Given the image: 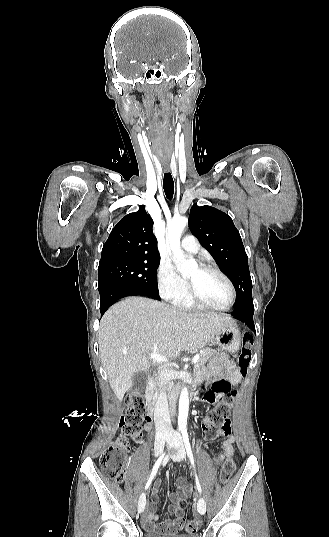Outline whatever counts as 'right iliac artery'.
Segmentation results:
<instances>
[{"instance_id":"82829eb1","label":"right iliac artery","mask_w":329,"mask_h":537,"mask_svg":"<svg viewBox=\"0 0 329 537\" xmlns=\"http://www.w3.org/2000/svg\"><path fill=\"white\" fill-rule=\"evenodd\" d=\"M164 453L158 458V460L156 461V463L154 464L153 466V469H152V472H151V475H150V478L148 479L147 483H146V486H145V489L147 490L149 488V486L151 485L152 483V480L154 479V477L156 476L157 474V471L159 469V466L164 458Z\"/></svg>"}]
</instances>
